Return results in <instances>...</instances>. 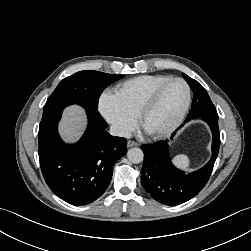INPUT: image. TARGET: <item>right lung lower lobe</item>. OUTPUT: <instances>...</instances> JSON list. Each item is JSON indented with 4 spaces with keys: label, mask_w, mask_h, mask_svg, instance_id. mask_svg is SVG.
I'll use <instances>...</instances> for the list:
<instances>
[{
    "label": "right lung lower lobe",
    "mask_w": 251,
    "mask_h": 251,
    "mask_svg": "<svg viewBox=\"0 0 251 251\" xmlns=\"http://www.w3.org/2000/svg\"><path fill=\"white\" fill-rule=\"evenodd\" d=\"M63 103L44 109L39 126V160L50 189L72 205H86L99 198L108 187L115 162L126 154L127 140L105 131L107 123L96 108L83 105L88 127L75 144H65L57 126Z\"/></svg>",
    "instance_id": "obj_1"
}]
</instances>
